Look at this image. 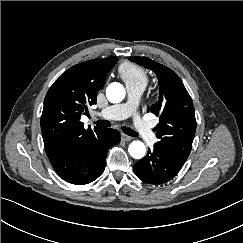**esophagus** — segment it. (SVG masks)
<instances>
[{
	"label": "esophagus",
	"instance_id": "34e87169",
	"mask_svg": "<svg viewBox=\"0 0 243 243\" xmlns=\"http://www.w3.org/2000/svg\"><path fill=\"white\" fill-rule=\"evenodd\" d=\"M122 140L123 141H131L132 140V137L131 136H128V135H126V134H122Z\"/></svg>",
	"mask_w": 243,
	"mask_h": 243
}]
</instances>
